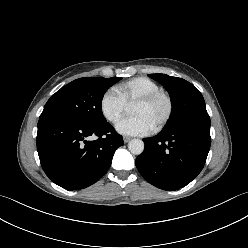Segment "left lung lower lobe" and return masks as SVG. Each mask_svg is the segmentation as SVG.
<instances>
[{"mask_svg":"<svg viewBox=\"0 0 248 248\" xmlns=\"http://www.w3.org/2000/svg\"><path fill=\"white\" fill-rule=\"evenodd\" d=\"M143 141L145 150L135 161L140 174L160 189H180L204 167L211 145L210 117L191 119Z\"/></svg>","mask_w":248,"mask_h":248,"instance_id":"0a47b994","label":"left lung lower lobe"}]
</instances>
